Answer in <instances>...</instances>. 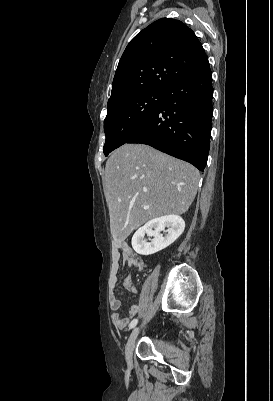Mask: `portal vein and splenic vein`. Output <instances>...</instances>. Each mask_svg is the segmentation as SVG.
Segmentation results:
<instances>
[{"mask_svg":"<svg viewBox=\"0 0 273 401\" xmlns=\"http://www.w3.org/2000/svg\"><path fill=\"white\" fill-rule=\"evenodd\" d=\"M144 209H149V205H143Z\"/></svg>","mask_w":273,"mask_h":401,"instance_id":"obj_1","label":"portal vein and splenic vein"}]
</instances>
